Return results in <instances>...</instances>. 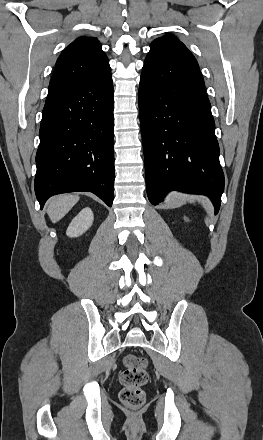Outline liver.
Returning a JSON list of instances; mask_svg holds the SVG:
<instances>
[{"label": "liver", "mask_w": 263, "mask_h": 440, "mask_svg": "<svg viewBox=\"0 0 263 440\" xmlns=\"http://www.w3.org/2000/svg\"><path fill=\"white\" fill-rule=\"evenodd\" d=\"M79 196L66 194L52 199L47 208V213L53 223L60 221L78 202Z\"/></svg>", "instance_id": "6515ba94"}]
</instances>
